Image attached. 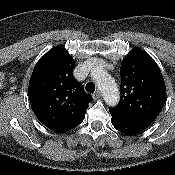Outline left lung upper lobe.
<instances>
[{"label":"left lung upper lobe","instance_id":"obj_1","mask_svg":"<svg viewBox=\"0 0 175 175\" xmlns=\"http://www.w3.org/2000/svg\"><path fill=\"white\" fill-rule=\"evenodd\" d=\"M120 103L111 114L154 120L166 101V87L156 62L143 50L132 49L120 66Z\"/></svg>","mask_w":175,"mask_h":175}]
</instances>
